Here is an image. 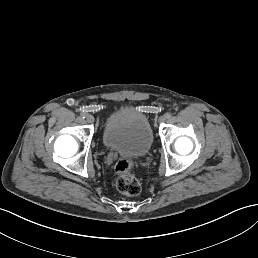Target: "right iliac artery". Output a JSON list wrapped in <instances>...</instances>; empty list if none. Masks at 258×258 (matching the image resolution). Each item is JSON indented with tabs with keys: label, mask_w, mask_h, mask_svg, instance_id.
Wrapping results in <instances>:
<instances>
[{
	"label": "right iliac artery",
	"mask_w": 258,
	"mask_h": 258,
	"mask_svg": "<svg viewBox=\"0 0 258 258\" xmlns=\"http://www.w3.org/2000/svg\"><path fill=\"white\" fill-rule=\"evenodd\" d=\"M81 117H82V118H85V117H86V114H85V113H81Z\"/></svg>",
	"instance_id": "1"
}]
</instances>
